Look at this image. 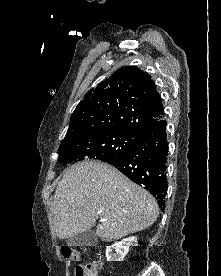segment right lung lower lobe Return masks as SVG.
I'll list each match as a JSON object with an SVG mask.
<instances>
[{"label":"right lung lower lobe","instance_id":"98d812e1","mask_svg":"<svg viewBox=\"0 0 221 276\" xmlns=\"http://www.w3.org/2000/svg\"><path fill=\"white\" fill-rule=\"evenodd\" d=\"M166 137V121L160 119L139 137L135 147L128 153L107 161L133 182L147 189L158 200L162 211L165 209L168 188Z\"/></svg>","mask_w":221,"mask_h":276}]
</instances>
